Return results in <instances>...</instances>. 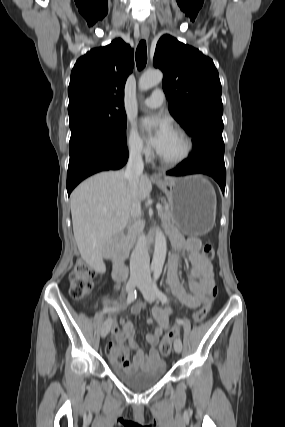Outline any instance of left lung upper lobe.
I'll use <instances>...</instances> for the list:
<instances>
[{
    "label": "left lung upper lobe",
    "mask_w": 285,
    "mask_h": 427,
    "mask_svg": "<svg viewBox=\"0 0 285 427\" xmlns=\"http://www.w3.org/2000/svg\"><path fill=\"white\" fill-rule=\"evenodd\" d=\"M153 63L164 73L170 113L193 143L222 139V88L213 61L198 49L164 35L156 45Z\"/></svg>",
    "instance_id": "5c2ea615"
}]
</instances>
